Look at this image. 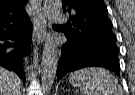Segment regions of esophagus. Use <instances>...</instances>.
<instances>
[{"label": "esophagus", "mask_w": 135, "mask_h": 95, "mask_svg": "<svg viewBox=\"0 0 135 95\" xmlns=\"http://www.w3.org/2000/svg\"><path fill=\"white\" fill-rule=\"evenodd\" d=\"M33 10V42L42 43L46 37V21L41 0H31Z\"/></svg>", "instance_id": "esophagus-1"}]
</instances>
